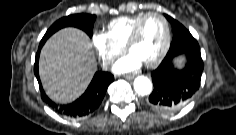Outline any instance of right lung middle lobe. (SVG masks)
Masks as SVG:
<instances>
[{
  "label": "right lung middle lobe",
  "instance_id": "right-lung-middle-lobe-1",
  "mask_svg": "<svg viewBox=\"0 0 236 135\" xmlns=\"http://www.w3.org/2000/svg\"><path fill=\"white\" fill-rule=\"evenodd\" d=\"M96 19L95 15L89 14H74L63 17L56 21L45 33L42 40H47L53 33L61 28L73 26L84 30L90 37L93 34V25Z\"/></svg>",
  "mask_w": 236,
  "mask_h": 135
}]
</instances>
